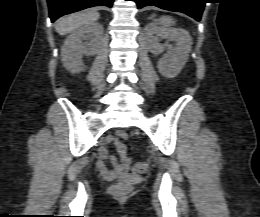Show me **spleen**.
Listing matches in <instances>:
<instances>
[{
  "instance_id": "spleen-1",
  "label": "spleen",
  "mask_w": 260,
  "mask_h": 217,
  "mask_svg": "<svg viewBox=\"0 0 260 217\" xmlns=\"http://www.w3.org/2000/svg\"><path fill=\"white\" fill-rule=\"evenodd\" d=\"M158 23L164 25L165 27H169L174 24V21L170 17H162L160 20H158Z\"/></svg>"
}]
</instances>
